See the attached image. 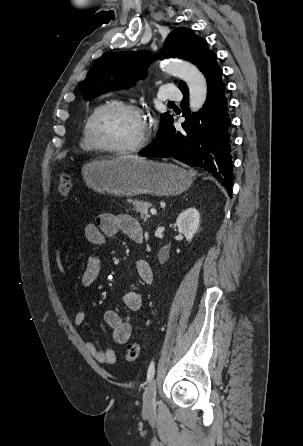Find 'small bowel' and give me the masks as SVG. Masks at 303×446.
Segmentation results:
<instances>
[{
    "mask_svg": "<svg viewBox=\"0 0 303 446\" xmlns=\"http://www.w3.org/2000/svg\"><path fill=\"white\" fill-rule=\"evenodd\" d=\"M123 234L136 243L143 241V230L139 222L129 215H114L111 213L100 214L95 223L88 224L84 229L86 242L93 247L101 246L105 239ZM62 247L56 249V265L58 270L66 274V269L61 259ZM100 260L96 255H90L82 274V284L90 287L95 284L100 275ZM136 275L138 280L149 285L153 281V272L146 260L140 259L136 262ZM70 299V297H68ZM125 307L136 312L142 307V297L138 290H128L123 295ZM105 324L112 330L113 340L117 344L126 343L132 334V324L123 320L118 312L107 310L103 314ZM85 321V313L76 310L74 314V323L80 326ZM88 352L100 363L115 364L117 361L116 351L112 348H98L92 341L86 342Z\"/></svg>",
    "mask_w": 303,
    "mask_h": 446,
    "instance_id": "obj_1",
    "label": "small bowel"
}]
</instances>
